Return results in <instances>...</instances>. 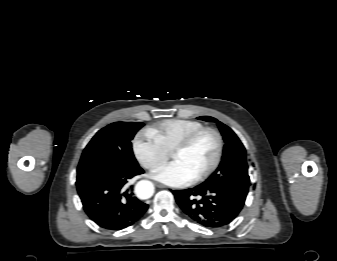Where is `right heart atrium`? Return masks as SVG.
Instances as JSON below:
<instances>
[{"instance_id":"right-heart-atrium-1","label":"right heart atrium","mask_w":337,"mask_h":261,"mask_svg":"<svg viewBox=\"0 0 337 261\" xmlns=\"http://www.w3.org/2000/svg\"><path fill=\"white\" fill-rule=\"evenodd\" d=\"M133 150L140 164L149 170L162 164L169 157V152L149 131H140L135 136Z\"/></svg>"}]
</instances>
